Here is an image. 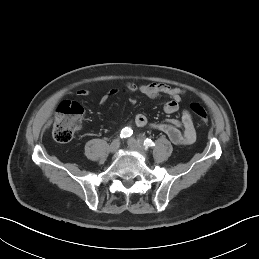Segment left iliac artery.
<instances>
[{
    "label": "left iliac artery",
    "instance_id": "obj_1",
    "mask_svg": "<svg viewBox=\"0 0 259 259\" xmlns=\"http://www.w3.org/2000/svg\"><path fill=\"white\" fill-rule=\"evenodd\" d=\"M143 146H144L145 149H148L149 147L155 146V144L151 139L146 138L143 141Z\"/></svg>",
    "mask_w": 259,
    "mask_h": 259
}]
</instances>
